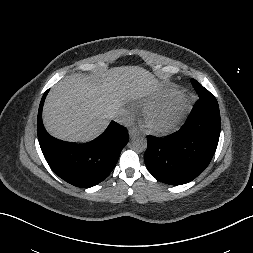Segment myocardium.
I'll use <instances>...</instances> for the list:
<instances>
[{"label": "myocardium", "instance_id": "f54148a6", "mask_svg": "<svg viewBox=\"0 0 253 253\" xmlns=\"http://www.w3.org/2000/svg\"><path fill=\"white\" fill-rule=\"evenodd\" d=\"M189 108V100L183 95L174 97L162 103L151 105L144 112V126L153 134H169L180 125ZM162 114L168 116V121L164 124H157L155 118Z\"/></svg>", "mask_w": 253, "mask_h": 253}]
</instances>
